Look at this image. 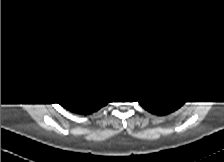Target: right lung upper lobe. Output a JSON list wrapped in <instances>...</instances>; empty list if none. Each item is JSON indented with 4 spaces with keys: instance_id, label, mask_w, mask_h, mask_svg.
<instances>
[{
    "instance_id": "obj_1",
    "label": "right lung upper lobe",
    "mask_w": 224,
    "mask_h": 162,
    "mask_svg": "<svg viewBox=\"0 0 224 162\" xmlns=\"http://www.w3.org/2000/svg\"><path fill=\"white\" fill-rule=\"evenodd\" d=\"M55 98L60 104L64 105L71 111L89 112V110H93L97 107V105H92L91 108H87L84 105L86 100L83 97L82 90L67 85H60L58 87Z\"/></svg>"
}]
</instances>
